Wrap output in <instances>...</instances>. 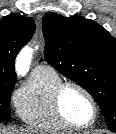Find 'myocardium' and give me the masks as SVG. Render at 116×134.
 <instances>
[{"label": "myocardium", "instance_id": "1", "mask_svg": "<svg viewBox=\"0 0 116 134\" xmlns=\"http://www.w3.org/2000/svg\"><path fill=\"white\" fill-rule=\"evenodd\" d=\"M73 87L81 91L90 101L92 106V119L88 124L82 125L72 122L64 113L63 107H62V96L64 91L69 88ZM53 107L54 111L59 118L61 122H63L66 126L73 128V129H87L90 128L95 124L98 118V105L93 97V95L90 93L88 89H86L83 85L75 82V81H62L54 90L53 92Z\"/></svg>", "mask_w": 116, "mask_h": 134}]
</instances>
